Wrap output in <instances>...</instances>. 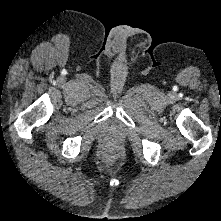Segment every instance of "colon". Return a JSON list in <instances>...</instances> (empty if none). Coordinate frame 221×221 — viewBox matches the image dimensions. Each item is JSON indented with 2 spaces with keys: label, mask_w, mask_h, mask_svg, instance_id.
<instances>
[{
  "label": "colon",
  "mask_w": 221,
  "mask_h": 221,
  "mask_svg": "<svg viewBox=\"0 0 221 221\" xmlns=\"http://www.w3.org/2000/svg\"><path fill=\"white\" fill-rule=\"evenodd\" d=\"M115 153H116V149L115 148H112L107 156V159L108 160H111L112 158L115 157Z\"/></svg>",
  "instance_id": "5ec220e1"
}]
</instances>
